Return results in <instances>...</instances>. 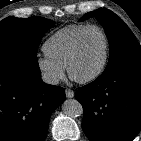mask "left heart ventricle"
Instances as JSON below:
<instances>
[{"instance_id": "1", "label": "left heart ventricle", "mask_w": 141, "mask_h": 141, "mask_svg": "<svg viewBox=\"0 0 141 141\" xmlns=\"http://www.w3.org/2000/svg\"><path fill=\"white\" fill-rule=\"evenodd\" d=\"M105 41L97 30L89 31L83 38L81 49L73 64V74L84 78L94 73L102 63Z\"/></svg>"}]
</instances>
